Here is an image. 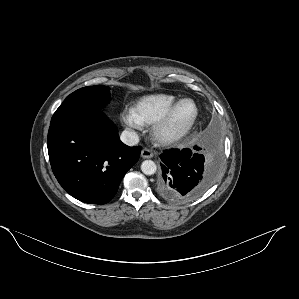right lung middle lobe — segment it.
<instances>
[{"mask_svg": "<svg viewBox=\"0 0 299 299\" xmlns=\"http://www.w3.org/2000/svg\"><path fill=\"white\" fill-rule=\"evenodd\" d=\"M109 101L110 91L108 87L88 86L78 89L66 97L54 113L51 123L78 111L100 110Z\"/></svg>", "mask_w": 299, "mask_h": 299, "instance_id": "dd1d6c3e", "label": "right lung middle lobe"}]
</instances>
